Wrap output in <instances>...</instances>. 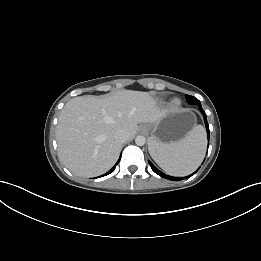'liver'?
Returning <instances> with one entry per match:
<instances>
[{
    "label": "liver",
    "instance_id": "liver-1",
    "mask_svg": "<svg viewBox=\"0 0 261 261\" xmlns=\"http://www.w3.org/2000/svg\"><path fill=\"white\" fill-rule=\"evenodd\" d=\"M166 113L149 93L142 91L75 97L66 103L58 118L59 158L75 175H101L119 157L123 142L114 138L117 130L125 131V141L132 140L138 124H153Z\"/></svg>",
    "mask_w": 261,
    "mask_h": 261
}]
</instances>
